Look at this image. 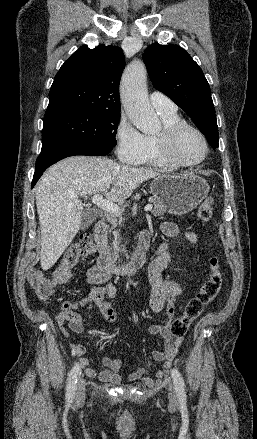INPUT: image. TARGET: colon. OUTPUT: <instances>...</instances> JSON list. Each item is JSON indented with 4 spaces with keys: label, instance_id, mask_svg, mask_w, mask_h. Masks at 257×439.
I'll list each match as a JSON object with an SVG mask.
<instances>
[{
    "label": "colon",
    "instance_id": "5ec220e1",
    "mask_svg": "<svg viewBox=\"0 0 257 439\" xmlns=\"http://www.w3.org/2000/svg\"><path fill=\"white\" fill-rule=\"evenodd\" d=\"M213 214V199L206 198L199 206L197 215L200 221L208 222ZM95 252L92 236L84 233L78 242L73 244L64 254L58 268L52 277H46L39 271H31L28 280L34 293L41 299L51 297L56 288L69 281L72 269L81 259ZM210 273L201 285L196 296L186 305L183 315L173 319L169 326L172 337H183L190 324L201 316L204 309L216 298L222 286L221 262L218 256H212L209 261Z\"/></svg>",
    "mask_w": 257,
    "mask_h": 439
}]
</instances>
